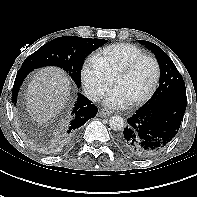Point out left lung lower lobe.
<instances>
[{
	"label": "left lung lower lobe",
	"instance_id": "0a47b994",
	"mask_svg": "<svg viewBox=\"0 0 197 197\" xmlns=\"http://www.w3.org/2000/svg\"><path fill=\"white\" fill-rule=\"evenodd\" d=\"M187 106L186 91L171 92L139 108L127 120L117 143L135 158H148L162 151L177 134Z\"/></svg>",
	"mask_w": 197,
	"mask_h": 197
}]
</instances>
